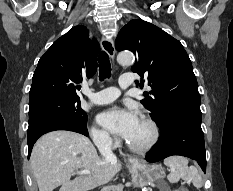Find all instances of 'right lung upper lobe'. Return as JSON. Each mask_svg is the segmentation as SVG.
Wrapping results in <instances>:
<instances>
[{
	"label": "right lung upper lobe",
	"instance_id": "right-lung-upper-lobe-1",
	"mask_svg": "<svg viewBox=\"0 0 233 191\" xmlns=\"http://www.w3.org/2000/svg\"><path fill=\"white\" fill-rule=\"evenodd\" d=\"M98 42L89 39L86 27H73L57 39L40 58L33 75L29 99L55 93L79 99L77 84L97 69Z\"/></svg>",
	"mask_w": 233,
	"mask_h": 191
}]
</instances>
